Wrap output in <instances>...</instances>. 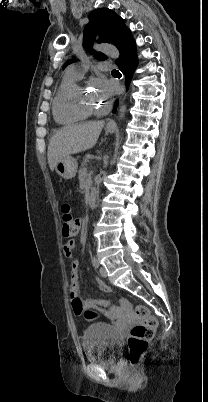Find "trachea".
<instances>
[{"instance_id":"trachea-1","label":"trachea","mask_w":208,"mask_h":402,"mask_svg":"<svg viewBox=\"0 0 208 402\" xmlns=\"http://www.w3.org/2000/svg\"><path fill=\"white\" fill-rule=\"evenodd\" d=\"M112 72H118V70H112Z\"/></svg>"}]
</instances>
